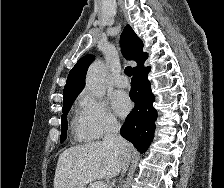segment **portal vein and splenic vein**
Masks as SVG:
<instances>
[{"label": "portal vein and splenic vein", "instance_id": "portal-vein-and-splenic-vein-1", "mask_svg": "<svg viewBox=\"0 0 224 188\" xmlns=\"http://www.w3.org/2000/svg\"><path fill=\"white\" fill-rule=\"evenodd\" d=\"M91 188H107V185L104 182H95L91 184Z\"/></svg>", "mask_w": 224, "mask_h": 188}]
</instances>
